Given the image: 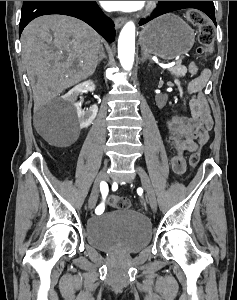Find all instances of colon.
<instances>
[{
  "instance_id": "1",
  "label": "colon",
  "mask_w": 237,
  "mask_h": 300,
  "mask_svg": "<svg viewBox=\"0 0 237 300\" xmlns=\"http://www.w3.org/2000/svg\"><path fill=\"white\" fill-rule=\"evenodd\" d=\"M187 20L199 29L200 48L198 53L202 58H206L213 51L215 40V28L212 21L200 10L190 9L186 13ZM200 147L191 154L190 165L196 167L200 160ZM110 203L114 208L126 209L130 207V202L127 198L120 195H113L110 197Z\"/></svg>"
}]
</instances>
